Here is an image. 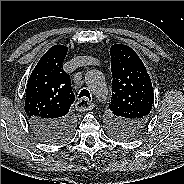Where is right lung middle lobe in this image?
Segmentation results:
<instances>
[{
  "mask_svg": "<svg viewBox=\"0 0 184 184\" xmlns=\"http://www.w3.org/2000/svg\"><path fill=\"white\" fill-rule=\"evenodd\" d=\"M73 129L74 127L69 129V131L65 132V134L59 135L58 137H56L55 141H53L51 144L61 143L67 140L71 136Z\"/></svg>",
  "mask_w": 184,
  "mask_h": 184,
  "instance_id": "dd1d6c3e",
  "label": "right lung middle lobe"
}]
</instances>
